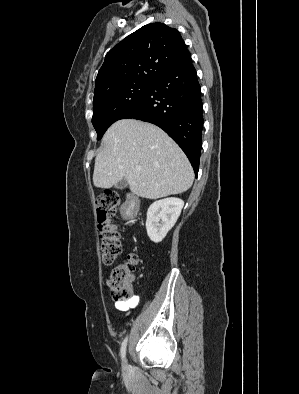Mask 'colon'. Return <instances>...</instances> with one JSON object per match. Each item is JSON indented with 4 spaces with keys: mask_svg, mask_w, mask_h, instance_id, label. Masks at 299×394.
<instances>
[{
    "mask_svg": "<svg viewBox=\"0 0 299 394\" xmlns=\"http://www.w3.org/2000/svg\"><path fill=\"white\" fill-rule=\"evenodd\" d=\"M120 197L114 191L100 194L95 201L100 233V253L105 265L113 264L121 253L120 234L111 218L116 214ZM137 258L131 254L128 260L118 265L108 281L112 297L117 301H128L133 297L132 281Z\"/></svg>",
    "mask_w": 299,
    "mask_h": 394,
    "instance_id": "obj_1",
    "label": "colon"
}]
</instances>
